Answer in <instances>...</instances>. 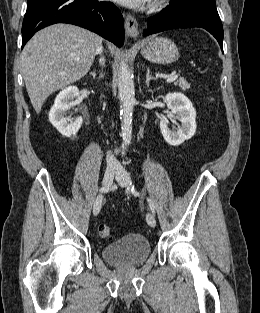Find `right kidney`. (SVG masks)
Masks as SVG:
<instances>
[{"mask_svg": "<svg viewBox=\"0 0 260 313\" xmlns=\"http://www.w3.org/2000/svg\"><path fill=\"white\" fill-rule=\"evenodd\" d=\"M79 96L76 86H69L63 89L56 97L54 105L49 112L50 123L65 137H72L79 131L83 119L77 117L71 121L67 116V111L75 105V98Z\"/></svg>", "mask_w": 260, "mask_h": 313, "instance_id": "right-kidney-1", "label": "right kidney"}]
</instances>
